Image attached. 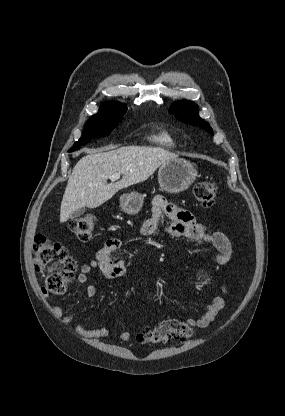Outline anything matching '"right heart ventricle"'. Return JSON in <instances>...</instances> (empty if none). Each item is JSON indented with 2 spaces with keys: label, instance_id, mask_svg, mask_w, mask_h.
Returning a JSON list of instances; mask_svg holds the SVG:
<instances>
[{
  "label": "right heart ventricle",
  "instance_id": "obj_1",
  "mask_svg": "<svg viewBox=\"0 0 285 416\" xmlns=\"http://www.w3.org/2000/svg\"><path fill=\"white\" fill-rule=\"evenodd\" d=\"M150 139L153 143L161 147H172L176 143L175 137L166 129H159Z\"/></svg>",
  "mask_w": 285,
  "mask_h": 416
}]
</instances>
